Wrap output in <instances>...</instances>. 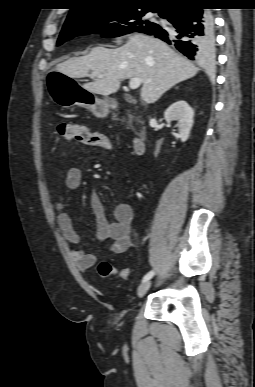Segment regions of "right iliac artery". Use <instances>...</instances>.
Wrapping results in <instances>:
<instances>
[{"label":"right iliac artery","mask_w":255,"mask_h":387,"mask_svg":"<svg viewBox=\"0 0 255 387\" xmlns=\"http://www.w3.org/2000/svg\"><path fill=\"white\" fill-rule=\"evenodd\" d=\"M153 275H154V271H153V270L150 271V272H148V273L143 277L142 282L148 281L149 279H151V278L153 277Z\"/></svg>","instance_id":"82829eb1"}]
</instances>
